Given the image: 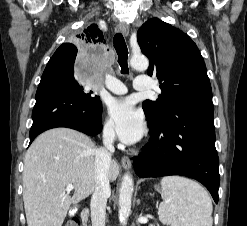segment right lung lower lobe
<instances>
[{"instance_id":"obj_1","label":"right lung lower lobe","mask_w":247,"mask_h":226,"mask_svg":"<svg viewBox=\"0 0 247 226\" xmlns=\"http://www.w3.org/2000/svg\"><path fill=\"white\" fill-rule=\"evenodd\" d=\"M101 112V101L81 89L74 70L65 61L51 58L36 92L30 143L40 133L56 127L96 135L102 130Z\"/></svg>"}]
</instances>
